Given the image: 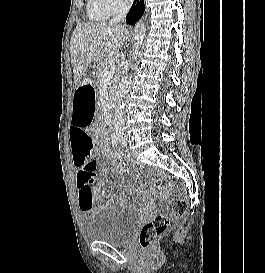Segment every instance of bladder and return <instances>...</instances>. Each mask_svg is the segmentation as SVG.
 <instances>
[{
    "mask_svg": "<svg viewBox=\"0 0 265 273\" xmlns=\"http://www.w3.org/2000/svg\"><path fill=\"white\" fill-rule=\"evenodd\" d=\"M137 223L138 215L134 210L105 209L95 214L85 232L91 240L121 246L134 235Z\"/></svg>",
    "mask_w": 265,
    "mask_h": 273,
    "instance_id": "bladder-1",
    "label": "bladder"
}]
</instances>
